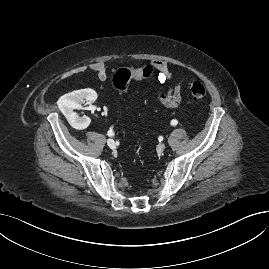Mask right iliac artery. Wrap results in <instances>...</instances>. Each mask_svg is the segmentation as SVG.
I'll return each mask as SVG.
<instances>
[{
    "label": "right iliac artery",
    "mask_w": 269,
    "mask_h": 269,
    "mask_svg": "<svg viewBox=\"0 0 269 269\" xmlns=\"http://www.w3.org/2000/svg\"><path fill=\"white\" fill-rule=\"evenodd\" d=\"M107 134H108V136H113L114 135L112 130H109Z\"/></svg>",
    "instance_id": "right-iliac-artery-1"
}]
</instances>
